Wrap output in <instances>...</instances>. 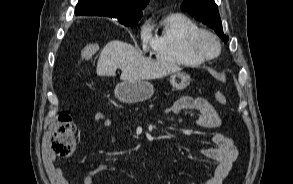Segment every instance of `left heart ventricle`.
Returning a JSON list of instances; mask_svg holds the SVG:
<instances>
[{"instance_id": "1", "label": "left heart ventricle", "mask_w": 293, "mask_h": 184, "mask_svg": "<svg viewBox=\"0 0 293 184\" xmlns=\"http://www.w3.org/2000/svg\"><path fill=\"white\" fill-rule=\"evenodd\" d=\"M201 48L204 52H206L208 54H213L217 50L215 42L208 37H204L201 40Z\"/></svg>"}]
</instances>
